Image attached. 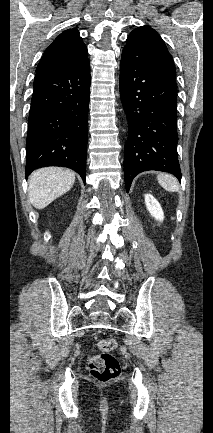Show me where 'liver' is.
<instances>
[{
	"instance_id": "6515ba94",
	"label": "liver",
	"mask_w": 213,
	"mask_h": 433,
	"mask_svg": "<svg viewBox=\"0 0 213 433\" xmlns=\"http://www.w3.org/2000/svg\"><path fill=\"white\" fill-rule=\"evenodd\" d=\"M28 182L31 204L43 209L72 188L75 173L61 167H45L35 170Z\"/></svg>"
}]
</instances>
